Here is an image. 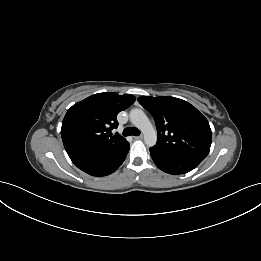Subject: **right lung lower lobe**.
Here are the masks:
<instances>
[{
	"mask_svg": "<svg viewBox=\"0 0 261 261\" xmlns=\"http://www.w3.org/2000/svg\"><path fill=\"white\" fill-rule=\"evenodd\" d=\"M129 142L117 147L81 148L68 152L72 162L92 176H106L116 171L126 158Z\"/></svg>",
	"mask_w": 261,
	"mask_h": 261,
	"instance_id": "98d812e1",
	"label": "right lung lower lobe"
}]
</instances>
